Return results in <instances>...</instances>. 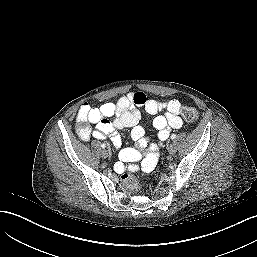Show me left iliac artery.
Listing matches in <instances>:
<instances>
[{
  "label": "left iliac artery",
  "instance_id": "1",
  "mask_svg": "<svg viewBox=\"0 0 257 257\" xmlns=\"http://www.w3.org/2000/svg\"><path fill=\"white\" fill-rule=\"evenodd\" d=\"M170 138L173 140V139L176 138V135H175V134H172Z\"/></svg>",
  "mask_w": 257,
  "mask_h": 257
}]
</instances>
